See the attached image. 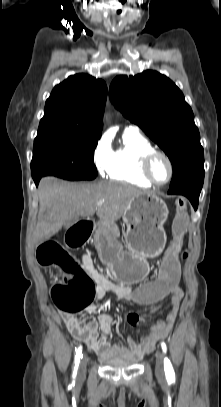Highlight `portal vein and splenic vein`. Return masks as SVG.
Masks as SVG:
<instances>
[{"label": "portal vein and splenic vein", "instance_id": "18ae733b", "mask_svg": "<svg viewBox=\"0 0 221 407\" xmlns=\"http://www.w3.org/2000/svg\"><path fill=\"white\" fill-rule=\"evenodd\" d=\"M103 203H104V200H100V201L97 202V205L101 206Z\"/></svg>", "mask_w": 221, "mask_h": 407}]
</instances>
